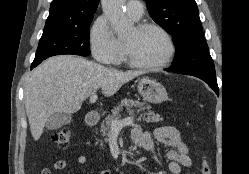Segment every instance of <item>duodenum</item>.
Listing matches in <instances>:
<instances>
[{"mask_svg": "<svg viewBox=\"0 0 249 174\" xmlns=\"http://www.w3.org/2000/svg\"><path fill=\"white\" fill-rule=\"evenodd\" d=\"M85 121L88 126L93 127L98 123V118L95 113L90 112L86 115Z\"/></svg>", "mask_w": 249, "mask_h": 174, "instance_id": "1", "label": "duodenum"}]
</instances>
